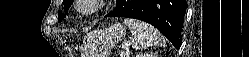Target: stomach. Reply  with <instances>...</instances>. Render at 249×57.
Segmentation results:
<instances>
[{
  "label": "stomach",
  "instance_id": "0dacf381",
  "mask_svg": "<svg viewBox=\"0 0 249 57\" xmlns=\"http://www.w3.org/2000/svg\"><path fill=\"white\" fill-rule=\"evenodd\" d=\"M126 34V28L119 23L89 33L83 41L84 57H109L113 46Z\"/></svg>",
  "mask_w": 249,
  "mask_h": 57
}]
</instances>
